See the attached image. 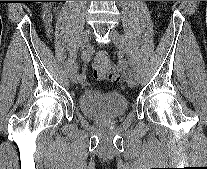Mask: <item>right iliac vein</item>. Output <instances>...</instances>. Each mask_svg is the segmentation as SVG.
I'll return each instance as SVG.
<instances>
[{
    "instance_id": "63e3f726",
    "label": "right iliac vein",
    "mask_w": 207,
    "mask_h": 169,
    "mask_svg": "<svg viewBox=\"0 0 207 169\" xmlns=\"http://www.w3.org/2000/svg\"><path fill=\"white\" fill-rule=\"evenodd\" d=\"M91 38V30L90 29H86L83 34H82V38H81V49L84 50L88 44H89V40ZM70 79L73 83H78V68L77 65H74L71 70H70Z\"/></svg>"
}]
</instances>
